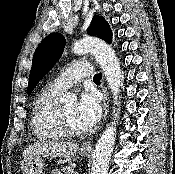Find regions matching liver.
<instances>
[{
    "mask_svg": "<svg viewBox=\"0 0 175 174\" xmlns=\"http://www.w3.org/2000/svg\"><path fill=\"white\" fill-rule=\"evenodd\" d=\"M79 149L76 143H59V142H36L29 145L23 152V158L31 159L38 155H50L52 157L69 158L77 153Z\"/></svg>",
    "mask_w": 175,
    "mask_h": 174,
    "instance_id": "6515ba94",
    "label": "liver"
}]
</instances>
